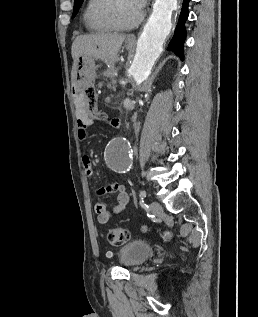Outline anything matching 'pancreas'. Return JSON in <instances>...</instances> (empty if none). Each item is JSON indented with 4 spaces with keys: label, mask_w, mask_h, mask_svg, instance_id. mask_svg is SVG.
Here are the masks:
<instances>
[{
    "label": "pancreas",
    "mask_w": 258,
    "mask_h": 317,
    "mask_svg": "<svg viewBox=\"0 0 258 317\" xmlns=\"http://www.w3.org/2000/svg\"><path fill=\"white\" fill-rule=\"evenodd\" d=\"M110 83H111V89L114 93H119L121 91V88L117 84V78L116 77H111L110 78Z\"/></svg>",
    "instance_id": "1"
}]
</instances>
